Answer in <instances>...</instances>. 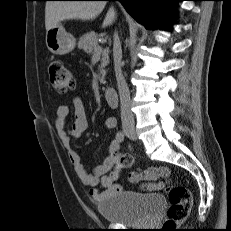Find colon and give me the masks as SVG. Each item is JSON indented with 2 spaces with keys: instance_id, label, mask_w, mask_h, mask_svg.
<instances>
[{
  "instance_id": "colon-1",
  "label": "colon",
  "mask_w": 231,
  "mask_h": 231,
  "mask_svg": "<svg viewBox=\"0 0 231 231\" xmlns=\"http://www.w3.org/2000/svg\"><path fill=\"white\" fill-rule=\"evenodd\" d=\"M50 82L58 93H67L75 86V80L71 71L60 61H53L49 67ZM117 158L122 167H129L132 159L129 155L117 153ZM167 176L164 169H149L129 174V180L138 182L140 180L163 179ZM167 196L170 203L166 219L163 223V231H172L178 224L185 221L192 207L191 193L185 187L169 183Z\"/></svg>"
}]
</instances>
